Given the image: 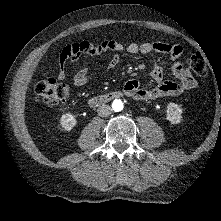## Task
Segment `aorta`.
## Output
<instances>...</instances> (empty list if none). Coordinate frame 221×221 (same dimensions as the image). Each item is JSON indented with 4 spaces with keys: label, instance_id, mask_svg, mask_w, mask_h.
Here are the masks:
<instances>
[{
    "label": "aorta",
    "instance_id": "aorta-1",
    "mask_svg": "<svg viewBox=\"0 0 221 221\" xmlns=\"http://www.w3.org/2000/svg\"><path fill=\"white\" fill-rule=\"evenodd\" d=\"M112 107L115 111H121L123 109V103L121 100H114Z\"/></svg>",
    "mask_w": 221,
    "mask_h": 221
}]
</instances>
